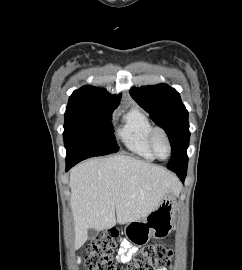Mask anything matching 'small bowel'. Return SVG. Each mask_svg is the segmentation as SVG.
Here are the masks:
<instances>
[{
	"label": "small bowel",
	"instance_id": "c3829d8e",
	"mask_svg": "<svg viewBox=\"0 0 242 270\" xmlns=\"http://www.w3.org/2000/svg\"><path fill=\"white\" fill-rule=\"evenodd\" d=\"M134 252H135L134 247L129 242L123 241L121 244L120 251L117 254V260L119 262L130 260ZM159 270H165V269H159Z\"/></svg>",
	"mask_w": 242,
	"mask_h": 270
}]
</instances>
